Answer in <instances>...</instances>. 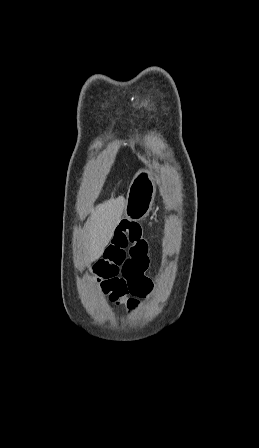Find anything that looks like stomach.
I'll return each mask as SVG.
<instances>
[{
    "label": "stomach",
    "instance_id": "obj_1",
    "mask_svg": "<svg viewBox=\"0 0 259 448\" xmlns=\"http://www.w3.org/2000/svg\"><path fill=\"white\" fill-rule=\"evenodd\" d=\"M156 194V184L151 170H139L127 192L125 216L128 220H142L148 216Z\"/></svg>",
    "mask_w": 259,
    "mask_h": 448
}]
</instances>
